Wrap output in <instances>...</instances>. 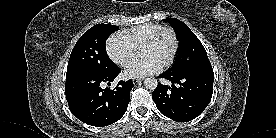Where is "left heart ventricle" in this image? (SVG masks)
Masks as SVG:
<instances>
[{
	"mask_svg": "<svg viewBox=\"0 0 276 138\" xmlns=\"http://www.w3.org/2000/svg\"><path fill=\"white\" fill-rule=\"evenodd\" d=\"M173 48V41L168 33L162 35L157 44L143 47L141 49V56L153 57L163 64L169 57Z\"/></svg>",
	"mask_w": 276,
	"mask_h": 138,
	"instance_id": "1",
	"label": "left heart ventricle"
}]
</instances>
